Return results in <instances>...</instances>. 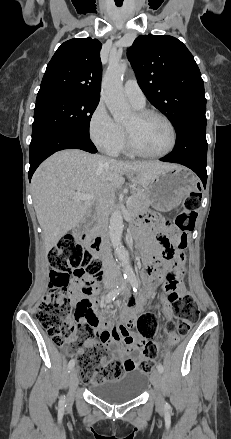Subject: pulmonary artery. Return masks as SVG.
<instances>
[{
	"instance_id": "1",
	"label": "pulmonary artery",
	"mask_w": 231,
	"mask_h": 439,
	"mask_svg": "<svg viewBox=\"0 0 231 439\" xmlns=\"http://www.w3.org/2000/svg\"><path fill=\"white\" fill-rule=\"evenodd\" d=\"M123 92L125 97L136 107L142 108L145 106L146 98L137 84L136 80L129 79L124 83Z\"/></svg>"
}]
</instances>
